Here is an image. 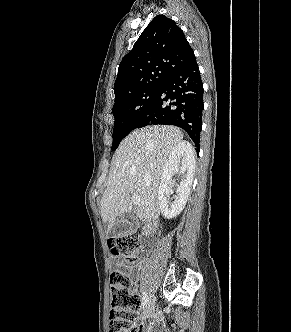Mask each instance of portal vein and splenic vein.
Returning <instances> with one entry per match:
<instances>
[{"instance_id":"obj_1","label":"portal vein and splenic vein","mask_w":291,"mask_h":332,"mask_svg":"<svg viewBox=\"0 0 291 332\" xmlns=\"http://www.w3.org/2000/svg\"><path fill=\"white\" fill-rule=\"evenodd\" d=\"M132 201L134 204H139L140 203V198L138 196H133Z\"/></svg>"}]
</instances>
